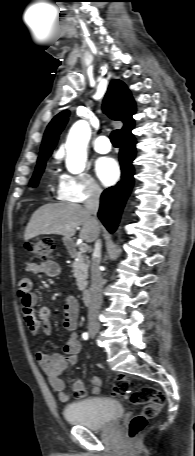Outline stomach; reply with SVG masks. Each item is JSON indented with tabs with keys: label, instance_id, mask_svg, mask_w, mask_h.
Returning a JSON list of instances; mask_svg holds the SVG:
<instances>
[{
	"label": "stomach",
	"instance_id": "1",
	"mask_svg": "<svg viewBox=\"0 0 195 456\" xmlns=\"http://www.w3.org/2000/svg\"><path fill=\"white\" fill-rule=\"evenodd\" d=\"M63 243H64V245L69 246L70 243H71V240H70V239L63 238Z\"/></svg>",
	"mask_w": 195,
	"mask_h": 456
}]
</instances>
